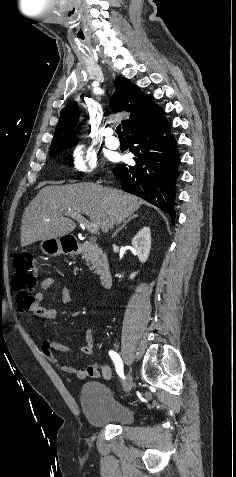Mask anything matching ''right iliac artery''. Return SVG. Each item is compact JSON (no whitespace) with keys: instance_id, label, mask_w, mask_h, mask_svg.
<instances>
[{"instance_id":"right-iliac-artery-1","label":"right iliac artery","mask_w":236,"mask_h":477,"mask_svg":"<svg viewBox=\"0 0 236 477\" xmlns=\"http://www.w3.org/2000/svg\"><path fill=\"white\" fill-rule=\"evenodd\" d=\"M109 355H110L111 359L113 360V362H114V364H115V368H116L117 374H118L122 379H125L124 372H123V362H122L121 357L119 356L118 353H116V352L113 351V350H110V351H109Z\"/></svg>"}]
</instances>
